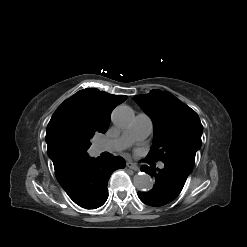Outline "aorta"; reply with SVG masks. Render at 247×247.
<instances>
[{
  "mask_svg": "<svg viewBox=\"0 0 247 247\" xmlns=\"http://www.w3.org/2000/svg\"><path fill=\"white\" fill-rule=\"evenodd\" d=\"M134 119L133 110L126 105L117 106L112 113L113 123L121 128L128 127ZM133 183L140 191H149L153 188V180L146 173H139L134 176Z\"/></svg>",
  "mask_w": 247,
  "mask_h": 247,
  "instance_id": "aorta-1",
  "label": "aorta"
}]
</instances>
